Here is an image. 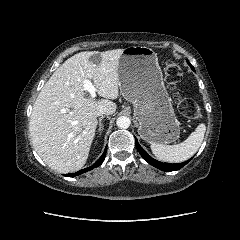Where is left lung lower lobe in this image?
<instances>
[{
	"label": "left lung lower lobe",
	"instance_id": "1",
	"mask_svg": "<svg viewBox=\"0 0 240 240\" xmlns=\"http://www.w3.org/2000/svg\"><path fill=\"white\" fill-rule=\"evenodd\" d=\"M135 141H136V148L138 150V152L141 154L142 158L144 160H146L149 164L153 165L154 167L163 170V171H176L181 169L184 165H186L190 160L183 162V163H179V164H171V163H162L159 162L155 159H153L151 156H149L144 149L139 145L137 138L135 137Z\"/></svg>",
	"mask_w": 240,
	"mask_h": 240
}]
</instances>
